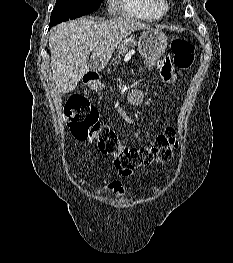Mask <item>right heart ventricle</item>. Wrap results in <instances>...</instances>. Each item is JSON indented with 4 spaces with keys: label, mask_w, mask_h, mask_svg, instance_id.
<instances>
[{
    "label": "right heart ventricle",
    "mask_w": 233,
    "mask_h": 263,
    "mask_svg": "<svg viewBox=\"0 0 233 263\" xmlns=\"http://www.w3.org/2000/svg\"><path fill=\"white\" fill-rule=\"evenodd\" d=\"M118 7L131 17L153 20L159 19L165 12L162 0H116Z\"/></svg>",
    "instance_id": "obj_1"
}]
</instances>
